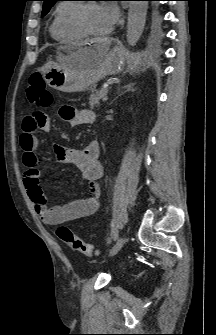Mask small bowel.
<instances>
[{"instance_id":"obj_1","label":"small bowel","mask_w":216,"mask_h":335,"mask_svg":"<svg viewBox=\"0 0 216 335\" xmlns=\"http://www.w3.org/2000/svg\"><path fill=\"white\" fill-rule=\"evenodd\" d=\"M60 115L74 127L90 124L95 120V114L91 110H77L68 105L61 107ZM50 130L51 124L44 108H37L36 113H30V117H26L22 122L20 146L23 151L22 160L26 167L24 183L35 210L45 224L60 225L90 216L98 210L103 166L100 162L99 142L96 139L91 140L81 150L60 144L54 145L57 158L78 167L83 177L90 182L91 191L84 199L64 205L49 206L39 180V159L36 154L39 141L36 132Z\"/></svg>"}]
</instances>
